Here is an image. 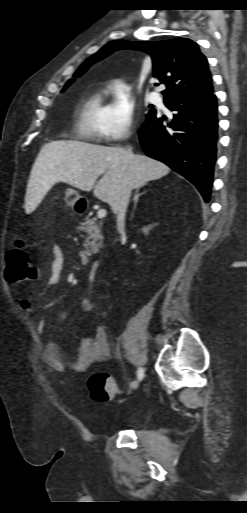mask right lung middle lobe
Listing matches in <instances>:
<instances>
[{"mask_svg": "<svg viewBox=\"0 0 247 513\" xmlns=\"http://www.w3.org/2000/svg\"><path fill=\"white\" fill-rule=\"evenodd\" d=\"M73 82V79H71L70 81L67 82V84L65 85L64 89H66L71 83ZM63 89V90H64ZM151 111H154V110H151ZM150 111V112H151Z\"/></svg>", "mask_w": 247, "mask_h": 513, "instance_id": "1", "label": "right lung middle lobe"}]
</instances>
